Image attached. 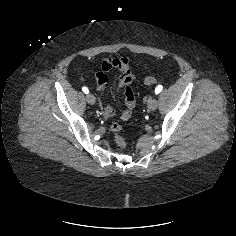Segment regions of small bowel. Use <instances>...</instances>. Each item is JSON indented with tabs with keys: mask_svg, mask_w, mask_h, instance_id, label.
I'll list each match as a JSON object with an SVG mask.
<instances>
[{
	"mask_svg": "<svg viewBox=\"0 0 236 236\" xmlns=\"http://www.w3.org/2000/svg\"><path fill=\"white\" fill-rule=\"evenodd\" d=\"M116 70L121 73L118 84L124 88L125 96L126 108L121 113V119L126 121L131 117L132 110L135 107V97L131 89V84L136 79V73L129 58L122 56L120 58L105 59L102 63L101 70L96 73L95 79L99 93L103 94L109 82V74ZM102 111L105 119H109L115 115L114 108L104 101L102 102Z\"/></svg>",
	"mask_w": 236,
	"mask_h": 236,
	"instance_id": "c3829d8e",
	"label": "small bowel"
}]
</instances>
